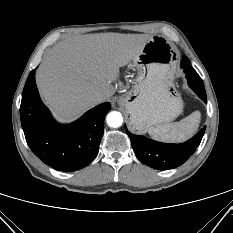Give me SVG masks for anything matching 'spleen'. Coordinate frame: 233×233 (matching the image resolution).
<instances>
[{
  "mask_svg": "<svg viewBox=\"0 0 233 233\" xmlns=\"http://www.w3.org/2000/svg\"><path fill=\"white\" fill-rule=\"evenodd\" d=\"M200 119V112L194 111L179 122L150 127L148 133L156 140L182 142L189 139L197 131Z\"/></svg>",
  "mask_w": 233,
  "mask_h": 233,
  "instance_id": "spleen-1",
  "label": "spleen"
}]
</instances>
